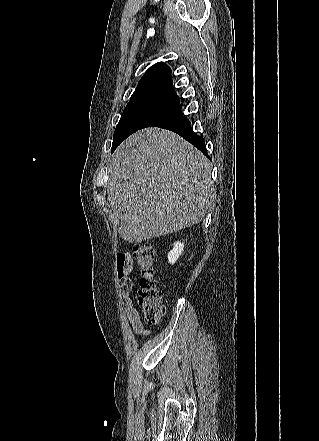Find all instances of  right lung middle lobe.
<instances>
[{"label": "right lung middle lobe", "instance_id": "obj_1", "mask_svg": "<svg viewBox=\"0 0 319 441\" xmlns=\"http://www.w3.org/2000/svg\"><path fill=\"white\" fill-rule=\"evenodd\" d=\"M175 105L172 102L157 99L130 100L115 129L112 152L129 135L145 128L152 120Z\"/></svg>", "mask_w": 319, "mask_h": 441}]
</instances>
